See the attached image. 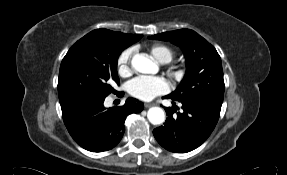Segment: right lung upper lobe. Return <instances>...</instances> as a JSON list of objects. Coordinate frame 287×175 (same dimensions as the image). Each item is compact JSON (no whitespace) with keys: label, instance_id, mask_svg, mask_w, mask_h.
Wrapping results in <instances>:
<instances>
[{"label":"right lung upper lobe","instance_id":"cb5924a9","mask_svg":"<svg viewBox=\"0 0 287 175\" xmlns=\"http://www.w3.org/2000/svg\"><path fill=\"white\" fill-rule=\"evenodd\" d=\"M92 32L97 33V34H101V35L120 37V38H123L125 40H129V41H133V42H137L142 37V35H140V34H134V35L133 34H124L121 32H113V31H110L107 29H97V30H94Z\"/></svg>","mask_w":287,"mask_h":175}]
</instances>
